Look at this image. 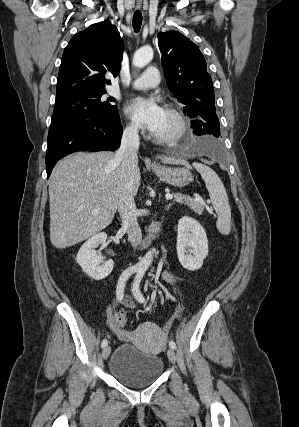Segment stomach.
Masks as SVG:
<instances>
[{"label":"stomach","mask_w":299,"mask_h":427,"mask_svg":"<svg viewBox=\"0 0 299 427\" xmlns=\"http://www.w3.org/2000/svg\"><path fill=\"white\" fill-rule=\"evenodd\" d=\"M153 172L158 178L175 187H185L193 181L189 168H171L166 166H153Z\"/></svg>","instance_id":"stomach-1"}]
</instances>
